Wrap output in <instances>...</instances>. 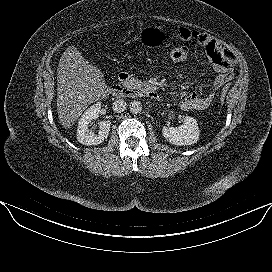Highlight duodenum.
I'll list each match as a JSON object with an SVG mask.
<instances>
[{
	"mask_svg": "<svg viewBox=\"0 0 272 272\" xmlns=\"http://www.w3.org/2000/svg\"><path fill=\"white\" fill-rule=\"evenodd\" d=\"M128 81H130V75L126 72H121L118 75V82L110 87V92L115 96L140 95L157 101H161L163 99L153 86L145 85L140 87L138 90H131L124 86Z\"/></svg>",
	"mask_w": 272,
	"mask_h": 272,
	"instance_id": "1",
	"label": "duodenum"
}]
</instances>
